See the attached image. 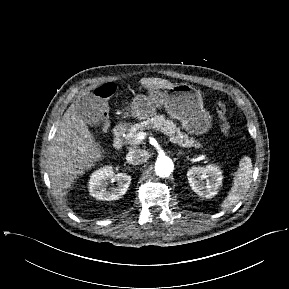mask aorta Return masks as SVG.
Wrapping results in <instances>:
<instances>
[{
	"instance_id": "1",
	"label": "aorta",
	"mask_w": 289,
	"mask_h": 289,
	"mask_svg": "<svg viewBox=\"0 0 289 289\" xmlns=\"http://www.w3.org/2000/svg\"><path fill=\"white\" fill-rule=\"evenodd\" d=\"M174 168L173 161L167 156H160L155 163V173L160 177H168Z\"/></svg>"
}]
</instances>
